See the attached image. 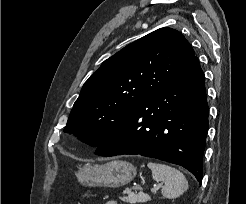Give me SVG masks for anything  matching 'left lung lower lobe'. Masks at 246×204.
I'll return each instance as SVG.
<instances>
[{"label": "left lung lower lobe", "mask_w": 246, "mask_h": 204, "mask_svg": "<svg viewBox=\"0 0 246 204\" xmlns=\"http://www.w3.org/2000/svg\"><path fill=\"white\" fill-rule=\"evenodd\" d=\"M208 131L204 74L197 57L143 100L95 154H139L180 165L201 183Z\"/></svg>", "instance_id": "obj_1"}]
</instances>
